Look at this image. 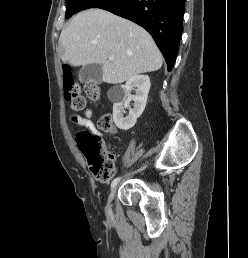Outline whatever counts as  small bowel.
I'll return each mask as SVG.
<instances>
[{
  "mask_svg": "<svg viewBox=\"0 0 248 258\" xmlns=\"http://www.w3.org/2000/svg\"><path fill=\"white\" fill-rule=\"evenodd\" d=\"M91 116H92V111H91V109L87 108L84 112L83 118H81L79 120V123H80V125L85 127L87 130L97 133V129L91 120Z\"/></svg>",
  "mask_w": 248,
  "mask_h": 258,
  "instance_id": "small-bowel-1",
  "label": "small bowel"
}]
</instances>
